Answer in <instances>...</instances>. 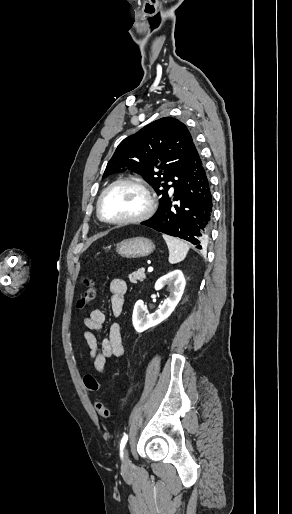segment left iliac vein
Here are the masks:
<instances>
[{
	"label": "left iliac vein",
	"mask_w": 292,
	"mask_h": 514,
	"mask_svg": "<svg viewBox=\"0 0 292 514\" xmlns=\"http://www.w3.org/2000/svg\"><path fill=\"white\" fill-rule=\"evenodd\" d=\"M131 466V461H130V458H129V453H128V449L126 448L124 450V457H123V463H122V468L124 470H127L129 469Z\"/></svg>",
	"instance_id": "4c4485c4"
}]
</instances>
